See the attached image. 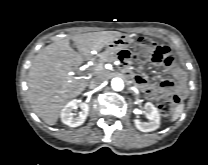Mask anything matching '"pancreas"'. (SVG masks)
I'll list each match as a JSON object with an SVG mask.
<instances>
[{"instance_id": "pancreas-1", "label": "pancreas", "mask_w": 208, "mask_h": 165, "mask_svg": "<svg viewBox=\"0 0 208 165\" xmlns=\"http://www.w3.org/2000/svg\"><path fill=\"white\" fill-rule=\"evenodd\" d=\"M115 53L111 52V51H104L101 54H99V59L97 61V63L95 64V68L96 71H98V73L100 72H105V70L103 69V65L106 62H112L114 60H116V56H114Z\"/></svg>"}]
</instances>
